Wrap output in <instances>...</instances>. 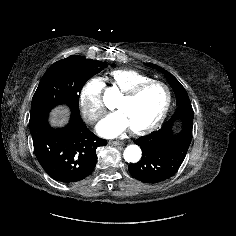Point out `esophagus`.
Masks as SVG:
<instances>
[{
    "label": "esophagus",
    "instance_id": "34e87169",
    "mask_svg": "<svg viewBox=\"0 0 236 236\" xmlns=\"http://www.w3.org/2000/svg\"><path fill=\"white\" fill-rule=\"evenodd\" d=\"M109 144H110V145L117 146V145H122L123 143H122L121 141L112 140V141H109Z\"/></svg>",
    "mask_w": 236,
    "mask_h": 236
}]
</instances>
